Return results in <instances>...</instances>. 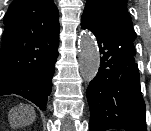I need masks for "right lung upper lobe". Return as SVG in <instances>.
I'll use <instances>...</instances> for the list:
<instances>
[{
	"instance_id": "right-lung-upper-lobe-1",
	"label": "right lung upper lobe",
	"mask_w": 151,
	"mask_h": 131,
	"mask_svg": "<svg viewBox=\"0 0 151 131\" xmlns=\"http://www.w3.org/2000/svg\"><path fill=\"white\" fill-rule=\"evenodd\" d=\"M3 22L0 89L43 68L59 42V14L53 0H14Z\"/></svg>"
}]
</instances>
